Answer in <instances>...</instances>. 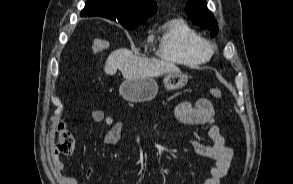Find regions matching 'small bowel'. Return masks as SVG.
Wrapping results in <instances>:
<instances>
[{
	"label": "small bowel",
	"instance_id": "1",
	"mask_svg": "<svg viewBox=\"0 0 293 184\" xmlns=\"http://www.w3.org/2000/svg\"><path fill=\"white\" fill-rule=\"evenodd\" d=\"M174 115L184 126H205L207 128L208 144L189 139V145L198 155L214 161L209 177L202 184H220L231 167L234 153L227 145L217 125L212 103L205 98L198 99L194 104L189 101H182L175 106ZM86 117L93 122L104 123L107 126L103 138L106 145H114L119 141L124 128L122 123L114 122L112 117L97 109L90 111ZM82 118V116L78 117L71 125ZM52 168L58 175L60 184H79L74 177L62 174L65 164L56 155L52 159ZM95 172L96 168L87 169L85 172L86 179L90 180Z\"/></svg>",
	"mask_w": 293,
	"mask_h": 184
}]
</instances>
